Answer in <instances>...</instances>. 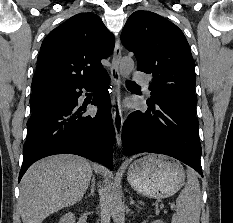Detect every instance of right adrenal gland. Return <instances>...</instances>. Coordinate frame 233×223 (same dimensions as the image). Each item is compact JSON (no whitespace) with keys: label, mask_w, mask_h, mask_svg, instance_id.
<instances>
[{"label":"right adrenal gland","mask_w":233,"mask_h":223,"mask_svg":"<svg viewBox=\"0 0 233 223\" xmlns=\"http://www.w3.org/2000/svg\"><path fill=\"white\" fill-rule=\"evenodd\" d=\"M95 193V181H94V177H92L91 179V191L89 193V195H87V197H91V195H94Z\"/></svg>","instance_id":"2a0ac1e0"}]
</instances>
